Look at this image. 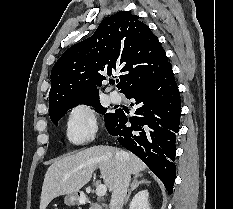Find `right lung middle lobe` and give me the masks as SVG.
I'll return each instance as SVG.
<instances>
[{"instance_id": "dd1d6c3e", "label": "right lung middle lobe", "mask_w": 233, "mask_h": 209, "mask_svg": "<svg viewBox=\"0 0 233 209\" xmlns=\"http://www.w3.org/2000/svg\"><path fill=\"white\" fill-rule=\"evenodd\" d=\"M78 104H85V105L93 106L94 108L98 109L99 112L104 115L106 127L111 123V121L114 119V117L116 115V112L115 113H105L106 109L101 106L99 99H97V100H92V101H87V102L68 104V105H64V106H60V107L56 108L55 110L49 112L52 122L57 126L60 118L70 108H73V107L77 106Z\"/></svg>"}]
</instances>
